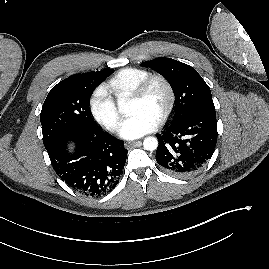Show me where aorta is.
Here are the masks:
<instances>
[{
  "label": "aorta",
  "mask_w": 269,
  "mask_h": 269,
  "mask_svg": "<svg viewBox=\"0 0 269 269\" xmlns=\"http://www.w3.org/2000/svg\"><path fill=\"white\" fill-rule=\"evenodd\" d=\"M118 106L120 112L127 113V103H125L123 100H118ZM143 146L146 150L153 151L158 147V140L153 136L146 137L143 141Z\"/></svg>",
  "instance_id": "762f6f07"
}]
</instances>
